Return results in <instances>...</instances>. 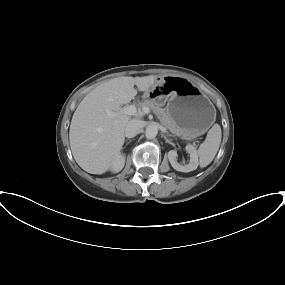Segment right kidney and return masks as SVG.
<instances>
[{"instance_id": "ca27d5eb", "label": "right kidney", "mask_w": 285, "mask_h": 285, "mask_svg": "<svg viewBox=\"0 0 285 285\" xmlns=\"http://www.w3.org/2000/svg\"><path fill=\"white\" fill-rule=\"evenodd\" d=\"M125 165V155L120 154L115 161L112 163L110 170L114 173H117L123 169Z\"/></svg>"}]
</instances>
